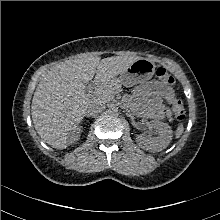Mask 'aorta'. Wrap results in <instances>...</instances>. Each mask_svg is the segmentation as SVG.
I'll return each instance as SVG.
<instances>
[{
  "mask_svg": "<svg viewBox=\"0 0 220 220\" xmlns=\"http://www.w3.org/2000/svg\"><path fill=\"white\" fill-rule=\"evenodd\" d=\"M117 111H118V108H116V107H113V108H112V112H113V113H116Z\"/></svg>",
  "mask_w": 220,
  "mask_h": 220,
  "instance_id": "762f6f07",
  "label": "aorta"
}]
</instances>
